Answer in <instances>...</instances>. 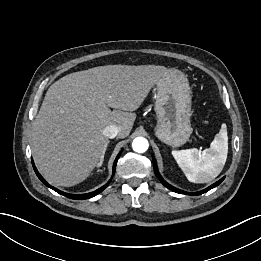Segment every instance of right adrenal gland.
<instances>
[{
    "label": "right adrenal gland",
    "mask_w": 261,
    "mask_h": 261,
    "mask_svg": "<svg viewBox=\"0 0 261 261\" xmlns=\"http://www.w3.org/2000/svg\"><path fill=\"white\" fill-rule=\"evenodd\" d=\"M104 160V157H102L101 161H100V164L98 166H101L102 165V162Z\"/></svg>",
    "instance_id": "obj_1"
}]
</instances>
